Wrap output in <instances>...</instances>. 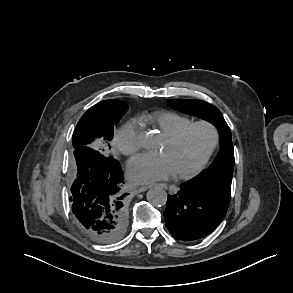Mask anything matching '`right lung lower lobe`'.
Returning <instances> with one entry per match:
<instances>
[{"label": "right lung lower lobe", "instance_id": "right-lung-lower-lobe-1", "mask_svg": "<svg viewBox=\"0 0 293 293\" xmlns=\"http://www.w3.org/2000/svg\"><path fill=\"white\" fill-rule=\"evenodd\" d=\"M72 211L83 232L96 242L113 243L127 230L122 171L116 159L90 146L74 148Z\"/></svg>", "mask_w": 293, "mask_h": 293}]
</instances>
